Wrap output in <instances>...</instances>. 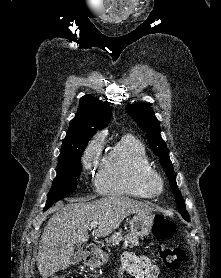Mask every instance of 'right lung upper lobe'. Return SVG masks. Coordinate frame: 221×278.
Segmentation results:
<instances>
[{
  "mask_svg": "<svg viewBox=\"0 0 221 278\" xmlns=\"http://www.w3.org/2000/svg\"><path fill=\"white\" fill-rule=\"evenodd\" d=\"M112 108L99 99L85 95L80 98L76 116L71 120L61 151L88 143L100 129L105 128L111 118Z\"/></svg>",
  "mask_w": 221,
  "mask_h": 278,
  "instance_id": "1",
  "label": "right lung upper lobe"
}]
</instances>
